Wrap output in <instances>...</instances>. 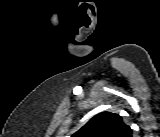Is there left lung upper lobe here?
<instances>
[{
	"label": "left lung upper lobe",
	"instance_id": "1",
	"mask_svg": "<svg viewBox=\"0 0 160 137\" xmlns=\"http://www.w3.org/2000/svg\"><path fill=\"white\" fill-rule=\"evenodd\" d=\"M131 128L121 116L102 112L91 118L72 137H131Z\"/></svg>",
	"mask_w": 160,
	"mask_h": 137
}]
</instances>
